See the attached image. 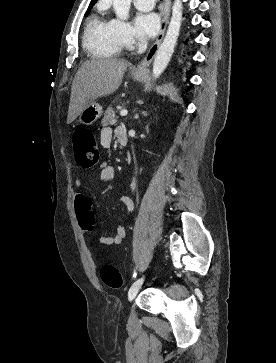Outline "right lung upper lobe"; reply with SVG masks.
I'll list each match as a JSON object with an SVG mask.
<instances>
[{"mask_svg":"<svg viewBox=\"0 0 276 363\" xmlns=\"http://www.w3.org/2000/svg\"><path fill=\"white\" fill-rule=\"evenodd\" d=\"M97 0H91L89 7H93Z\"/></svg>","mask_w":276,"mask_h":363,"instance_id":"cb5924a9","label":"right lung upper lobe"}]
</instances>
